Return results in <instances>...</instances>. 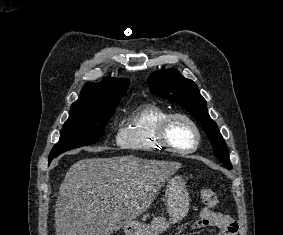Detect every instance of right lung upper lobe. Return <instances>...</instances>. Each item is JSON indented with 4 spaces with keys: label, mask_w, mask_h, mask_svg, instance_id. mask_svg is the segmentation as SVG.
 <instances>
[{
    "label": "right lung upper lobe",
    "mask_w": 283,
    "mask_h": 235,
    "mask_svg": "<svg viewBox=\"0 0 283 235\" xmlns=\"http://www.w3.org/2000/svg\"><path fill=\"white\" fill-rule=\"evenodd\" d=\"M128 86V80L114 78H107L100 83H86L78 100L72 105L119 103Z\"/></svg>",
    "instance_id": "obj_1"
}]
</instances>
